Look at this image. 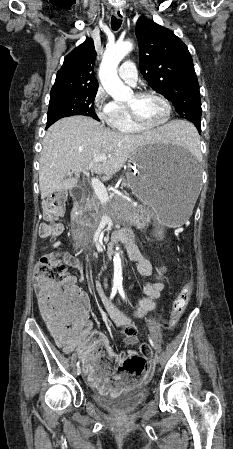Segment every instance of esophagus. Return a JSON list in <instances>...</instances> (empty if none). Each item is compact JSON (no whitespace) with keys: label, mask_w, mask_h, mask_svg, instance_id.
<instances>
[{"label":"esophagus","mask_w":233,"mask_h":449,"mask_svg":"<svg viewBox=\"0 0 233 449\" xmlns=\"http://www.w3.org/2000/svg\"><path fill=\"white\" fill-rule=\"evenodd\" d=\"M114 15L116 16V18H118V19H120V20H121V19H122V20L125 19V14L123 13L122 10L115 9Z\"/></svg>","instance_id":"obj_1"}]
</instances>
